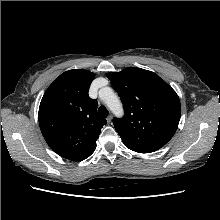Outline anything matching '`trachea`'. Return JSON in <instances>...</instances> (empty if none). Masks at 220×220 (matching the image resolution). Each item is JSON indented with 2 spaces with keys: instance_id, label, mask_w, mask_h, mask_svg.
<instances>
[{
  "instance_id": "obj_1",
  "label": "trachea",
  "mask_w": 220,
  "mask_h": 220,
  "mask_svg": "<svg viewBox=\"0 0 220 220\" xmlns=\"http://www.w3.org/2000/svg\"><path fill=\"white\" fill-rule=\"evenodd\" d=\"M98 113L102 118H107L109 112L104 106H100L98 109Z\"/></svg>"
}]
</instances>
